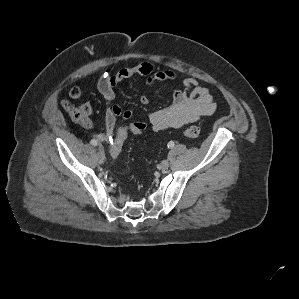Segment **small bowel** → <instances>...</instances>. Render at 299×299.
Here are the masks:
<instances>
[{
    "label": "small bowel",
    "mask_w": 299,
    "mask_h": 299,
    "mask_svg": "<svg viewBox=\"0 0 299 299\" xmlns=\"http://www.w3.org/2000/svg\"><path fill=\"white\" fill-rule=\"evenodd\" d=\"M144 77L143 87L148 89L157 82L176 84L177 75L168 69L155 71L150 62H141L132 66L120 69L116 74L104 75L98 81V91L106 103L105 126L106 132L99 133L97 138L102 142H111V135L114 131L119 117L130 120L133 117L131 110H124L121 106L113 104L115 98V87L133 76ZM183 89H175L172 103L149 114V123L154 131H162L169 128H180L186 124L195 122L201 117L212 115L216 110V103L213 96L206 87L199 86L194 77H189L183 82ZM69 97L79 100L82 97L80 87L74 86L69 91ZM140 102L148 104L146 94L140 96ZM89 113L92 112L91 105L84 103ZM146 128L142 120H135ZM91 124L87 127H90Z\"/></svg>",
    "instance_id": "obj_1"
}]
</instances>
